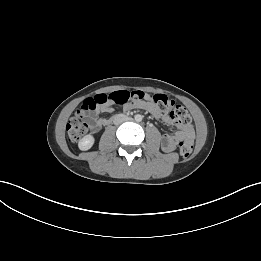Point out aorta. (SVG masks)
Segmentation results:
<instances>
[{
    "mask_svg": "<svg viewBox=\"0 0 261 261\" xmlns=\"http://www.w3.org/2000/svg\"><path fill=\"white\" fill-rule=\"evenodd\" d=\"M135 121L136 122H141L142 121V119H143V116L142 115H140V114H137V115H135Z\"/></svg>",
    "mask_w": 261,
    "mask_h": 261,
    "instance_id": "obj_1",
    "label": "aorta"
}]
</instances>
